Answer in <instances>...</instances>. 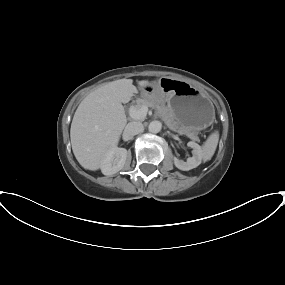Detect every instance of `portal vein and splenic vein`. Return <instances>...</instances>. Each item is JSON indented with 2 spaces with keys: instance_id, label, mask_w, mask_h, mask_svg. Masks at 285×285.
<instances>
[{
  "instance_id": "1",
  "label": "portal vein and splenic vein",
  "mask_w": 285,
  "mask_h": 285,
  "mask_svg": "<svg viewBox=\"0 0 285 285\" xmlns=\"http://www.w3.org/2000/svg\"><path fill=\"white\" fill-rule=\"evenodd\" d=\"M147 112V106H142L140 109H136L134 106H132L129 109V114L134 119H144L147 115Z\"/></svg>"
}]
</instances>
